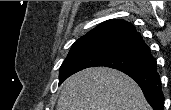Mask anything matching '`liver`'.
Instances as JSON below:
<instances>
[{"mask_svg":"<svg viewBox=\"0 0 171 110\" xmlns=\"http://www.w3.org/2000/svg\"><path fill=\"white\" fill-rule=\"evenodd\" d=\"M57 110H151L138 84L111 68H88L64 83Z\"/></svg>","mask_w":171,"mask_h":110,"instance_id":"6515ba94","label":"liver"}]
</instances>
